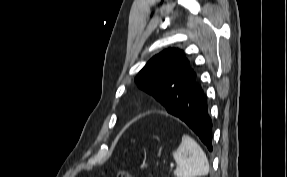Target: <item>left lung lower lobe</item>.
Listing matches in <instances>:
<instances>
[{
  "label": "left lung lower lobe",
  "mask_w": 287,
  "mask_h": 177,
  "mask_svg": "<svg viewBox=\"0 0 287 177\" xmlns=\"http://www.w3.org/2000/svg\"><path fill=\"white\" fill-rule=\"evenodd\" d=\"M169 113L184 121L202 140L209 151L212 147V123L202 88L198 83L181 90L169 100Z\"/></svg>",
  "instance_id": "left-lung-lower-lobe-1"
}]
</instances>
